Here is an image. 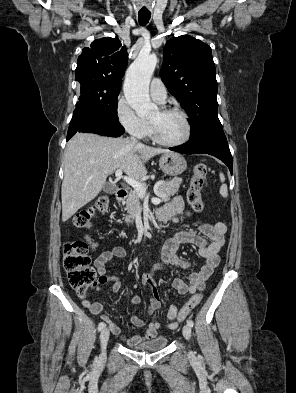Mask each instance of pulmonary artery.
Masks as SVG:
<instances>
[{"mask_svg":"<svg viewBox=\"0 0 296 393\" xmlns=\"http://www.w3.org/2000/svg\"><path fill=\"white\" fill-rule=\"evenodd\" d=\"M150 94L154 101L163 104L167 98V89L159 78H154L150 83Z\"/></svg>","mask_w":296,"mask_h":393,"instance_id":"obj_1","label":"pulmonary artery"}]
</instances>
